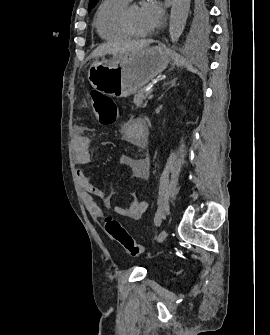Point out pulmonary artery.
Returning <instances> with one entry per match:
<instances>
[{
  "label": "pulmonary artery",
  "mask_w": 270,
  "mask_h": 335,
  "mask_svg": "<svg viewBox=\"0 0 270 335\" xmlns=\"http://www.w3.org/2000/svg\"><path fill=\"white\" fill-rule=\"evenodd\" d=\"M122 1L126 3H131L133 0H122Z\"/></svg>",
  "instance_id": "1"
}]
</instances>
